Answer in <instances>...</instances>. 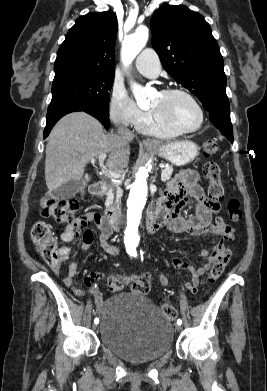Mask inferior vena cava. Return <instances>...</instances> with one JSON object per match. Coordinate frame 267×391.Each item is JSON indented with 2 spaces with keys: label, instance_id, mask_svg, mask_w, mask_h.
Instances as JSON below:
<instances>
[{
  "label": "inferior vena cava",
  "instance_id": "1",
  "mask_svg": "<svg viewBox=\"0 0 267 391\" xmlns=\"http://www.w3.org/2000/svg\"><path fill=\"white\" fill-rule=\"evenodd\" d=\"M118 135L122 136L123 138H131L133 137V133L126 127L120 126L117 130Z\"/></svg>",
  "mask_w": 267,
  "mask_h": 391
}]
</instances>
